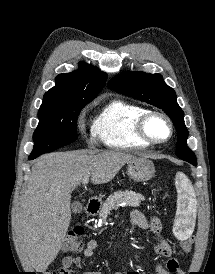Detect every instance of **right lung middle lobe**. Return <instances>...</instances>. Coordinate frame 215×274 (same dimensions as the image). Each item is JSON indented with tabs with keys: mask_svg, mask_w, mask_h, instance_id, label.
Segmentation results:
<instances>
[{
	"mask_svg": "<svg viewBox=\"0 0 215 274\" xmlns=\"http://www.w3.org/2000/svg\"><path fill=\"white\" fill-rule=\"evenodd\" d=\"M84 106L67 102L43 103L38 111L39 124L33 135L34 148L29 160L75 141L76 121Z\"/></svg>",
	"mask_w": 215,
	"mask_h": 274,
	"instance_id": "obj_1",
	"label": "right lung middle lobe"
}]
</instances>
